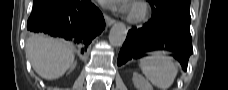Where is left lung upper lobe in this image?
Returning a JSON list of instances; mask_svg holds the SVG:
<instances>
[{"label": "left lung upper lobe", "instance_id": "obj_1", "mask_svg": "<svg viewBox=\"0 0 228 90\" xmlns=\"http://www.w3.org/2000/svg\"><path fill=\"white\" fill-rule=\"evenodd\" d=\"M151 6L162 8L168 12L188 11L190 0H147Z\"/></svg>", "mask_w": 228, "mask_h": 90}]
</instances>
